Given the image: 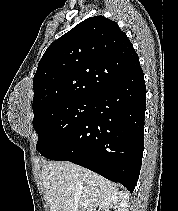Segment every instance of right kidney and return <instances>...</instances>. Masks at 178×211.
I'll return each mask as SVG.
<instances>
[{"label": "right kidney", "mask_w": 178, "mask_h": 211, "mask_svg": "<svg viewBox=\"0 0 178 211\" xmlns=\"http://www.w3.org/2000/svg\"><path fill=\"white\" fill-rule=\"evenodd\" d=\"M129 194L124 191L116 192L103 200L99 205V211H127Z\"/></svg>", "instance_id": "1"}]
</instances>
